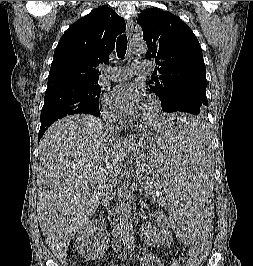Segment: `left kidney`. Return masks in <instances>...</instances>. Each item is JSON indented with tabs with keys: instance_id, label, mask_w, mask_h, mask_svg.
I'll list each match as a JSON object with an SVG mask.
<instances>
[{
	"instance_id": "left-kidney-1",
	"label": "left kidney",
	"mask_w": 253,
	"mask_h": 266,
	"mask_svg": "<svg viewBox=\"0 0 253 266\" xmlns=\"http://www.w3.org/2000/svg\"><path fill=\"white\" fill-rule=\"evenodd\" d=\"M162 229L158 232H154L152 230L144 231V235L147 241L151 242L154 245L159 246L160 244L168 243L171 239V234L169 231L170 224L167 218L164 215H159L157 217Z\"/></svg>"
}]
</instances>
